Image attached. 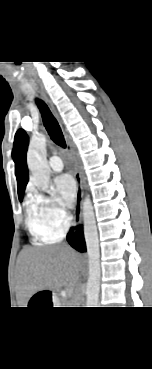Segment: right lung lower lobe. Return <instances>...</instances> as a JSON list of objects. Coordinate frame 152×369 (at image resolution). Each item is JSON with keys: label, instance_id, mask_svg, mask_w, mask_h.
Listing matches in <instances>:
<instances>
[{"label": "right lung lower lobe", "instance_id": "98d812e1", "mask_svg": "<svg viewBox=\"0 0 152 369\" xmlns=\"http://www.w3.org/2000/svg\"><path fill=\"white\" fill-rule=\"evenodd\" d=\"M74 229L71 228L70 232L67 235V240L69 244L80 252L86 251V245L83 235L82 226H78L76 228V232L73 231Z\"/></svg>", "mask_w": 152, "mask_h": 369}]
</instances>
